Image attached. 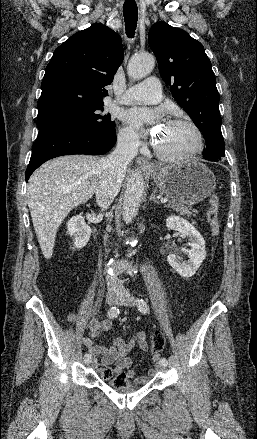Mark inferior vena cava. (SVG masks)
I'll return each instance as SVG.
<instances>
[{
    "label": "inferior vena cava",
    "instance_id": "obj_1",
    "mask_svg": "<svg viewBox=\"0 0 257 439\" xmlns=\"http://www.w3.org/2000/svg\"><path fill=\"white\" fill-rule=\"evenodd\" d=\"M138 145L131 138L118 140L115 150L100 161L101 176L96 188L98 206L105 210L119 193L126 167L137 155ZM108 288H122L123 283L116 276H107Z\"/></svg>",
    "mask_w": 257,
    "mask_h": 439
}]
</instances>
